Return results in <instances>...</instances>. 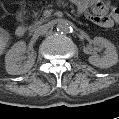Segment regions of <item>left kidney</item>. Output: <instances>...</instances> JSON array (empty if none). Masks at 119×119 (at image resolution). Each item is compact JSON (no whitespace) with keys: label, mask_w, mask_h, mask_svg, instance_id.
<instances>
[{"label":"left kidney","mask_w":119,"mask_h":119,"mask_svg":"<svg viewBox=\"0 0 119 119\" xmlns=\"http://www.w3.org/2000/svg\"><path fill=\"white\" fill-rule=\"evenodd\" d=\"M93 43L105 48L104 55L100 57L93 54L89 57V63L99 68H109L118 62V54L115 46L103 37H94Z\"/></svg>","instance_id":"left-kidney-1"}]
</instances>
